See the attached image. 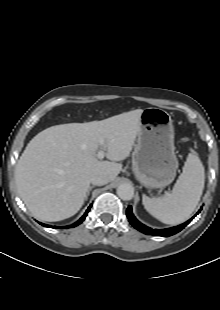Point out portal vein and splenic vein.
<instances>
[{"label":"portal vein and splenic vein","instance_id":"portal-vein-and-splenic-vein-1","mask_svg":"<svg viewBox=\"0 0 220 310\" xmlns=\"http://www.w3.org/2000/svg\"><path fill=\"white\" fill-rule=\"evenodd\" d=\"M99 143H100V150L98 151L96 156L98 159H103L105 156L106 144H105L104 139L102 138L99 140Z\"/></svg>","mask_w":220,"mask_h":310}]
</instances>
